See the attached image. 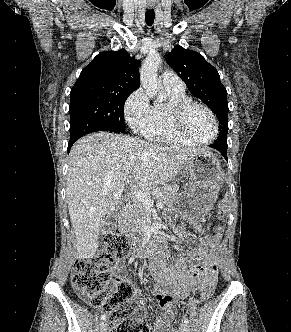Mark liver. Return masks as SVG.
<instances>
[{"mask_svg":"<svg viewBox=\"0 0 291 332\" xmlns=\"http://www.w3.org/2000/svg\"><path fill=\"white\" fill-rule=\"evenodd\" d=\"M203 148L162 146L108 132L79 139L69 155L66 195L76 236V257L93 258L107 215L125 188L147 192L173 180Z\"/></svg>","mask_w":291,"mask_h":332,"instance_id":"1","label":"liver"}]
</instances>
